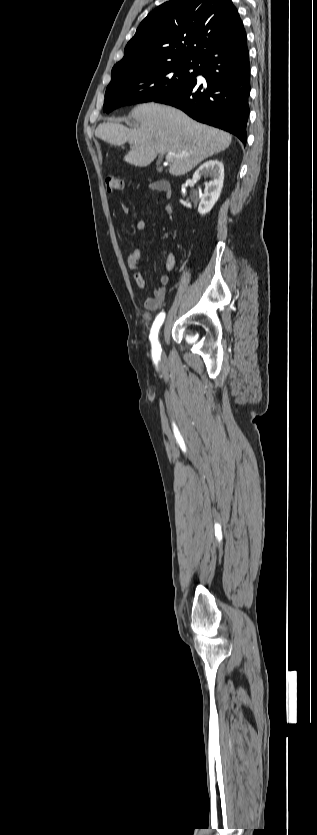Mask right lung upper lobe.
Listing matches in <instances>:
<instances>
[{
    "label": "right lung upper lobe",
    "mask_w": 317,
    "mask_h": 835,
    "mask_svg": "<svg viewBox=\"0 0 317 835\" xmlns=\"http://www.w3.org/2000/svg\"><path fill=\"white\" fill-rule=\"evenodd\" d=\"M244 38L245 29L231 0L168 1L141 22L112 73L198 61Z\"/></svg>",
    "instance_id": "cb5924a9"
}]
</instances>
